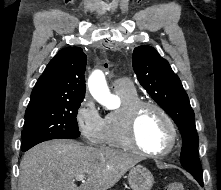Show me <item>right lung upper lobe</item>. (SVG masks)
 Masks as SVG:
<instances>
[{
	"instance_id": "cb5924a9",
	"label": "right lung upper lobe",
	"mask_w": 221,
	"mask_h": 190,
	"mask_svg": "<svg viewBox=\"0 0 221 190\" xmlns=\"http://www.w3.org/2000/svg\"><path fill=\"white\" fill-rule=\"evenodd\" d=\"M87 56L82 48L60 50L39 77L28 106L51 102H81L85 97Z\"/></svg>"
}]
</instances>
